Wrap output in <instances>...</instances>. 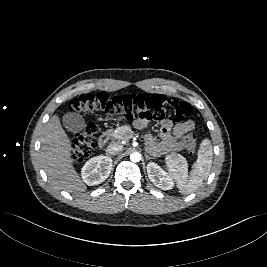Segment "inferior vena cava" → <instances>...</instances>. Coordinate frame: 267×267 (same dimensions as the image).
Here are the masks:
<instances>
[{
    "label": "inferior vena cava",
    "mask_w": 267,
    "mask_h": 267,
    "mask_svg": "<svg viewBox=\"0 0 267 267\" xmlns=\"http://www.w3.org/2000/svg\"><path fill=\"white\" fill-rule=\"evenodd\" d=\"M122 149H123V146L122 145L117 144V143H113V144H110L109 146H107L106 153L108 155H116L119 152H121Z\"/></svg>",
    "instance_id": "1"
}]
</instances>
